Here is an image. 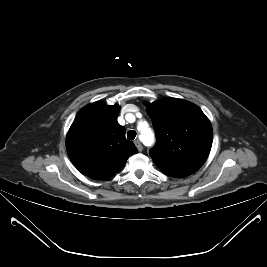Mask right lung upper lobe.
<instances>
[{
	"mask_svg": "<svg viewBox=\"0 0 267 267\" xmlns=\"http://www.w3.org/2000/svg\"><path fill=\"white\" fill-rule=\"evenodd\" d=\"M119 106L94 102L76 115L66 137L68 155L85 176L108 179L118 173L127 159L137 153L126 140V129L119 125Z\"/></svg>",
	"mask_w": 267,
	"mask_h": 267,
	"instance_id": "1",
	"label": "right lung upper lobe"
}]
</instances>
